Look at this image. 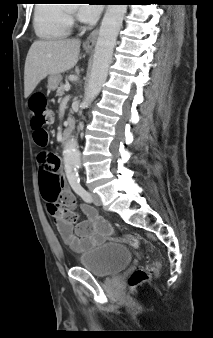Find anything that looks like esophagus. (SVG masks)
I'll return each mask as SVG.
<instances>
[{"instance_id":"1","label":"esophagus","mask_w":213,"mask_h":338,"mask_svg":"<svg viewBox=\"0 0 213 338\" xmlns=\"http://www.w3.org/2000/svg\"><path fill=\"white\" fill-rule=\"evenodd\" d=\"M98 35V29L93 30L84 42L85 47H93Z\"/></svg>"}]
</instances>
